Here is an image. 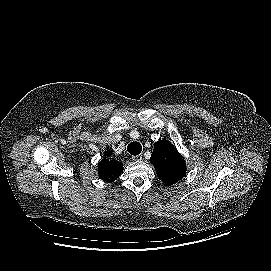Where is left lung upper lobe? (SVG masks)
Here are the masks:
<instances>
[{
	"instance_id": "obj_1",
	"label": "left lung upper lobe",
	"mask_w": 271,
	"mask_h": 271,
	"mask_svg": "<svg viewBox=\"0 0 271 271\" xmlns=\"http://www.w3.org/2000/svg\"><path fill=\"white\" fill-rule=\"evenodd\" d=\"M150 160L159 179L166 186L177 183L186 173L185 161L168 140H159L154 144Z\"/></svg>"
}]
</instances>
